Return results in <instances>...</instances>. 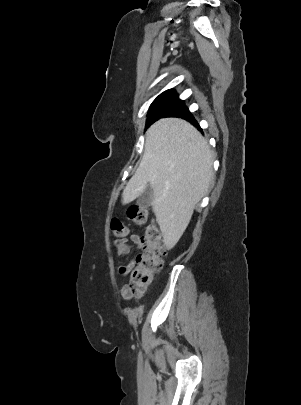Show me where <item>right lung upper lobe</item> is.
I'll return each instance as SVG.
<instances>
[{
	"label": "right lung upper lobe",
	"instance_id": "1",
	"mask_svg": "<svg viewBox=\"0 0 301 405\" xmlns=\"http://www.w3.org/2000/svg\"><path fill=\"white\" fill-rule=\"evenodd\" d=\"M172 91H173V89H170V90L165 91L164 93L172 92ZM162 94H163V93H162Z\"/></svg>",
	"mask_w": 301,
	"mask_h": 405
}]
</instances>
